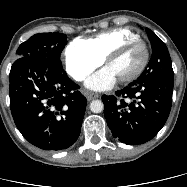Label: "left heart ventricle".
<instances>
[{"label":"left heart ventricle","instance_id":"left-heart-ventricle-1","mask_svg":"<svg viewBox=\"0 0 187 187\" xmlns=\"http://www.w3.org/2000/svg\"><path fill=\"white\" fill-rule=\"evenodd\" d=\"M145 57V48L142 44L130 46L121 56L112 59L107 67L115 74L117 79L132 74L142 63Z\"/></svg>","mask_w":187,"mask_h":187}]
</instances>
